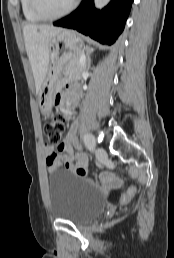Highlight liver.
<instances>
[{
    "instance_id": "6515ba94",
    "label": "liver",
    "mask_w": 174,
    "mask_h": 258,
    "mask_svg": "<svg viewBox=\"0 0 174 258\" xmlns=\"http://www.w3.org/2000/svg\"><path fill=\"white\" fill-rule=\"evenodd\" d=\"M61 31V28L51 25L27 24L23 27L25 48L31 64L37 94L48 70L49 41Z\"/></svg>"
}]
</instances>
